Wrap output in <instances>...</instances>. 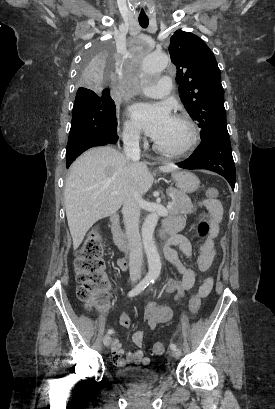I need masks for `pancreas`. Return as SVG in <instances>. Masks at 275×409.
I'll return each mask as SVG.
<instances>
[{
  "label": "pancreas",
  "instance_id": "pancreas-1",
  "mask_svg": "<svg viewBox=\"0 0 275 409\" xmlns=\"http://www.w3.org/2000/svg\"><path fill=\"white\" fill-rule=\"evenodd\" d=\"M166 190L167 194L172 196V209H169V213H174V215H178V213H182V215L193 213L194 207L192 205V200L186 192L177 190V188H173V186H169Z\"/></svg>",
  "mask_w": 275,
  "mask_h": 409
}]
</instances>
